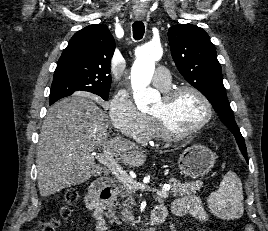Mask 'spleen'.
I'll return each instance as SVG.
<instances>
[{
	"label": "spleen",
	"mask_w": 268,
	"mask_h": 231,
	"mask_svg": "<svg viewBox=\"0 0 268 231\" xmlns=\"http://www.w3.org/2000/svg\"><path fill=\"white\" fill-rule=\"evenodd\" d=\"M211 212L226 220L238 219L243 215V188L238 176L229 171L220 183L217 191L212 192L207 200Z\"/></svg>",
	"instance_id": "3e777b00"
}]
</instances>
